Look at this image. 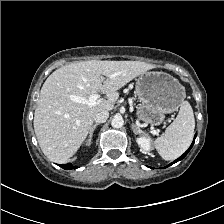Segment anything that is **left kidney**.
I'll list each match as a JSON object with an SVG mask.
<instances>
[{"mask_svg":"<svg viewBox=\"0 0 224 224\" xmlns=\"http://www.w3.org/2000/svg\"><path fill=\"white\" fill-rule=\"evenodd\" d=\"M136 142L145 152H149L152 149L151 140L149 137L146 136L137 137Z\"/></svg>","mask_w":224,"mask_h":224,"instance_id":"obj_1","label":"left kidney"}]
</instances>
